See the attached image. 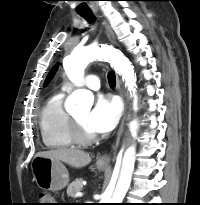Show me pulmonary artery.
Returning <instances> with one entry per match:
<instances>
[{"mask_svg": "<svg viewBox=\"0 0 200 205\" xmlns=\"http://www.w3.org/2000/svg\"><path fill=\"white\" fill-rule=\"evenodd\" d=\"M85 85L90 88L91 90H99L100 88V79L96 75H89L85 79ZM72 86L70 84H65L63 86V90L69 91L71 90Z\"/></svg>", "mask_w": 200, "mask_h": 205, "instance_id": "obj_1", "label": "pulmonary artery"}]
</instances>
